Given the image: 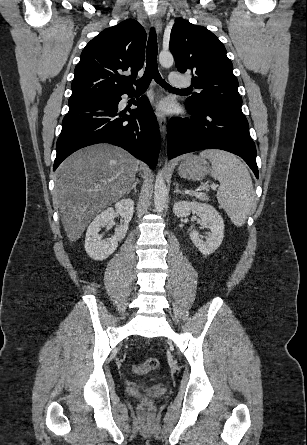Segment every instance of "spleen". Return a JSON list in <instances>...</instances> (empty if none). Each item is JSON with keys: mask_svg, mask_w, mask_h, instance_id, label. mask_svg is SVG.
Segmentation results:
<instances>
[{"mask_svg": "<svg viewBox=\"0 0 307 445\" xmlns=\"http://www.w3.org/2000/svg\"><path fill=\"white\" fill-rule=\"evenodd\" d=\"M202 158L212 162V176L220 180L217 200L226 210L233 225L243 227L248 214L255 212L256 198L250 172L240 158L226 150H202Z\"/></svg>", "mask_w": 307, "mask_h": 445, "instance_id": "3e777b00", "label": "spleen"}]
</instances>
